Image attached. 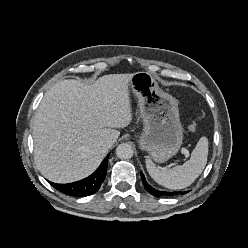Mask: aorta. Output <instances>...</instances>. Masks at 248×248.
Listing matches in <instances>:
<instances>
[{
    "label": "aorta",
    "instance_id": "aorta-1",
    "mask_svg": "<svg viewBox=\"0 0 248 248\" xmlns=\"http://www.w3.org/2000/svg\"><path fill=\"white\" fill-rule=\"evenodd\" d=\"M133 148L127 143L119 144L116 148V155L120 159H130L133 156Z\"/></svg>",
    "mask_w": 248,
    "mask_h": 248
}]
</instances>
